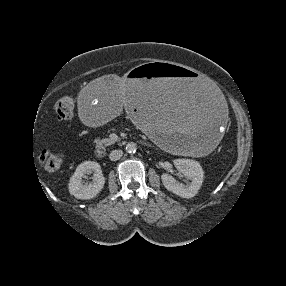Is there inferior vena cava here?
<instances>
[{
    "instance_id": "obj_1",
    "label": "inferior vena cava",
    "mask_w": 286,
    "mask_h": 286,
    "mask_svg": "<svg viewBox=\"0 0 286 286\" xmlns=\"http://www.w3.org/2000/svg\"><path fill=\"white\" fill-rule=\"evenodd\" d=\"M123 155L122 150H113L110 155L109 158L111 161H117L119 160Z\"/></svg>"
}]
</instances>
